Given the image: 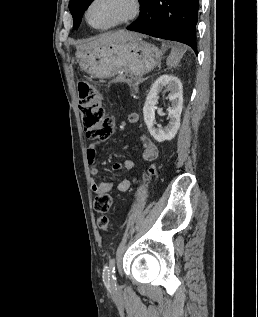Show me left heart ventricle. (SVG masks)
I'll return each mask as SVG.
<instances>
[{"label": "left heart ventricle", "instance_id": "left-heart-ventricle-1", "mask_svg": "<svg viewBox=\"0 0 258 317\" xmlns=\"http://www.w3.org/2000/svg\"><path fill=\"white\" fill-rule=\"evenodd\" d=\"M129 5L116 0H97L90 9V19L96 25H107L125 17Z\"/></svg>", "mask_w": 258, "mask_h": 317}]
</instances>
